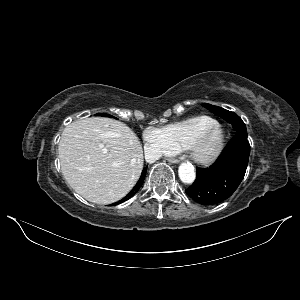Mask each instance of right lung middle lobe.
<instances>
[{"label":"right lung middle lobe","mask_w":300,"mask_h":300,"mask_svg":"<svg viewBox=\"0 0 300 300\" xmlns=\"http://www.w3.org/2000/svg\"><path fill=\"white\" fill-rule=\"evenodd\" d=\"M99 115H102V116H107V117H112L111 115L109 114H99Z\"/></svg>","instance_id":"obj_1"}]
</instances>
